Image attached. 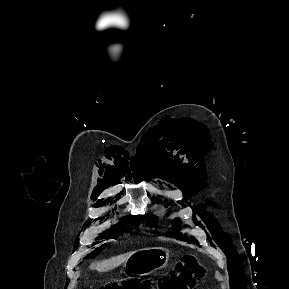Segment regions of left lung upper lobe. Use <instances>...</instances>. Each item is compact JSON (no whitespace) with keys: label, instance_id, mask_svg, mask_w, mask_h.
<instances>
[{"label":"left lung upper lobe","instance_id":"left-lung-upper-lobe-1","mask_svg":"<svg viewBox=\"0 0 289 289\" xmlns=\"http://www.w3.org/2000/svg\"><path fill=\"white\" fill-rule=\"evenodd\" d=\"M146 219L145 223L149 226V227H153V228H156L157 227V223H158V220H157V217L155 216H144L143 220ZM172 224H173V229L174 230H171L169 232H167L165 234V236H168V237H172V238H175V239H178V240H181V241H186V242H196V240L194 238H186V235H182L177 229H176V225H177V222H176V219H173L172 221ZM176 229V230H175Z\"/></svg>","mask_w":289,"mask_h":289}]
</instances>
